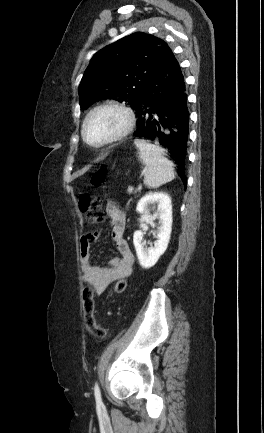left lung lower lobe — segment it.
I'll return each instance as SVG.
<instances>
[{
	"label": "left lung lower lobe",
	"mask_w": 264,
	"mask_h": 433,
	"mask_svg": "<svg viewBox=\"0 0 264 433\" xmlns=\"http://www.w3.org/2000/svg\"><path fill=\"white\" fill-rule=\"evenodd\" d=\"M134 109L138 116L134 136L154 140L168 149L186 185L189 111L184 76L173 53L140 94Z\"/></svg>",
	"instance_id": "left-lung-lower-lobe-1"
}]
</instances>
